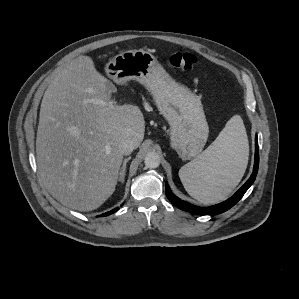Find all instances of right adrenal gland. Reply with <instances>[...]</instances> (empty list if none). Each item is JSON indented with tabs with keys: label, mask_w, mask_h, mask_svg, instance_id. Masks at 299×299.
<instances>
[{
	"label": "right adrenal gland",
	"mask_w": 299,
	"mask_h": 299,
	"mask_svg": "<svg viewBox=\"0 0 299 299\" xmlns=\"http://www.w3.org/2000/svg\"><path fill=\"white\" fill-rule=\"evenodd\" d=\"M130 159H131V157H128V158H125L124 161H123V165H122V168H121V171H120V177H119V181L122 182V183L124 182V179H125L126 164Z\"/></svg>",
	"instance_id": "obj_1"
}]
</instances>
